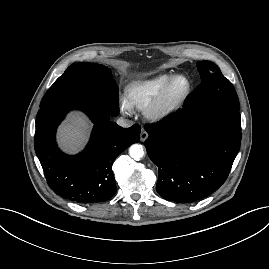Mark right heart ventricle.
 <instances>
[{"label":"right heart ventricle","mask_w":269,"mask_h":269,"mask_svg":"<svg viewBox=\"0 0 269 269\" xmlns=\"http://www.w3.org/2000/svg\"><path fill=\"white\" fill-rule=\"evenodd\" d=\"M171 76L170 73H164L131 82L125 89L126 102L131 108L145 109Z\"/></svg>","instance_id":"right-heart-ventricle-1"}]
</instances>
